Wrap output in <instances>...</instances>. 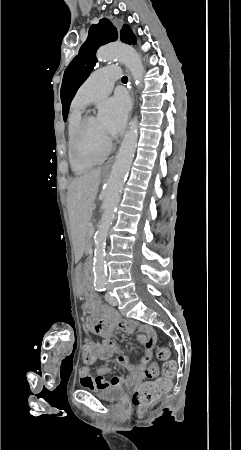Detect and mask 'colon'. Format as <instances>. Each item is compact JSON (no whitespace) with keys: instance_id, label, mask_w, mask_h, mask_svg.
Listing matches in <instances>:
<instances>
[{"instance_id":"5ec220e1","label":"colon","mask_w":241,"mask_h":450,"mask_svg":"<svg viewBox=\"0 0 241 450\" xmlns=\"http://www.w3.org/2000/svg\"><path fill=\"white\" fill-rule=\"evenodd\" d=\"M81 349L84 351V364L86 366H95L97 364V359L95 358L97 348L91 343H86ZM158 357L161 360L167 359L169 357L168 348L161 347L158 351ZM162 369L166 376L160 377L153 382L144 383L134 392L132 405L135 409L146 410L152 407L169 390L170 384L168 378L173 374L176 366L172 361H167L163 364ZM158 373L159 369L156 364H150L145 369V376L147 378H153Z\"/></svg>"}]
</instances>
